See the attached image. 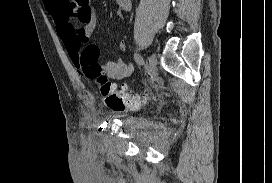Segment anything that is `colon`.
<instances>
[{"label":"colon","instance_id":"5ec220e1","mask_svg":"<svg viewBox=\"0 0 272 183\" xmlns=\"http://www.w3.org/2000/svg\"><path fill=\"white\" fill-rule=\"evenodd\" d=\"M98 57V47L88 43L82 49L78 66L84 75L95 84L107 106L114 111L136 110L142 107L147 101V95L144 93L132 94L125 89L115 88L108 76L102 72Z\"/></svg>","mask_w":272,"mask_h":183}]
</instances>
